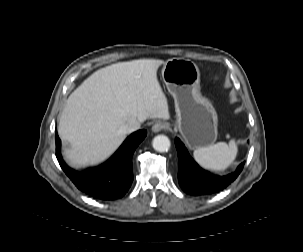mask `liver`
<instances>
[{
	"instance_id": "6515ba94",
	"label": "liver",
	"mask_w": 303,
	"mask_h": 252,
	"mask_svg": "<svg viewBox=\"0 0 303 252\" xmlns=\"http://www.w3.org/2000/svg\"><path fill=\"white\" fill-rule=\"evenodd\" d=\"M163 60L139 59L101 68L68 98L58 133L73 167L106 160L124 141L123 127L132 120L169 119L165 94L157 79Z\"/></svg>"
}]
</instances>
